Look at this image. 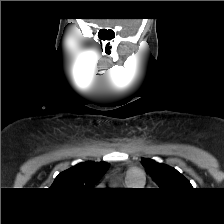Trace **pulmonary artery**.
Wrapping results in <instances>:
<instances>
[{"mask_svg": "<svg viewBox=\"0 0 224 224\" xmlns=\"http://www.w3.org/2000/svg\"><path fill=\"white\" fill-rule=\"evenodd\" d=\"M127 179L130 183L140 185L143 183V174L137 169H131L128 172Z\"/></svg>", "mask_w": 224, "mask_h": 224, "instance_id": "e3ab8cb5", "label": "pulmonary artery"}]
</instances>
